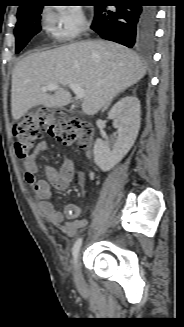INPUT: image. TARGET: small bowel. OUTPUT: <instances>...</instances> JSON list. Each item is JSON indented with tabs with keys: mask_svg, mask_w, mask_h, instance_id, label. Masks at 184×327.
Masks as SVG:
<instances>
[{
	"mask_svg": "<svg viewBox=\"0 0 184 327\" xmlns=\"http://www.w3.org/2000/svg\"><path fill=\"white\" fill-rule=\"evenodd\" d=\"M48 147V143L42 140L36 144L33 152L24 159L25 181L29 184L39 198L40 213L53 225H63L64 229L70 234H75L78 230L83 229L87 225V220L79 219L80 208L76 204H69L65 207L64 212L56 211L52 204V188L57 190H65L70 185L76 175L74 163L70 159H66L56 168L54 166L46 167V178L37 177L36 157L44 152ZM79 184L85 181V174L80 172L77 174ZM69 221L64 223V219Z\"/></svg>",
	"mask_w": 184,
	"mask_h": 327,
	"instance_id": "1",
	"label": "small bowel"
}]
</instances>
